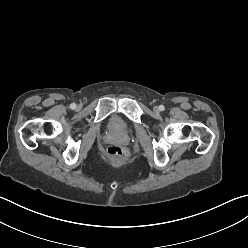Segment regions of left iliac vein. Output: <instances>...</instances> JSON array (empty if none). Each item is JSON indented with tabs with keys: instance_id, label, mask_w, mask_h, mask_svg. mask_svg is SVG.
<instances>
[{
	"instance_id": "left-iliac-vein-1",
	"label": "left iliac vein",
	"mask_w": 248,
	"mask_h": 248,
	"mask_svg": "<svg viewBox=\"0 0 248 248\" xmlns=\"http://www.w3.org/2000/svg\"><path fill=\"white\" fill-rule=\"evenodd\" d=\"M153 110H154L155 112H159V111H160V109H159L158 106H154V107H153Z\"/></svg>"
}]
</instances>
